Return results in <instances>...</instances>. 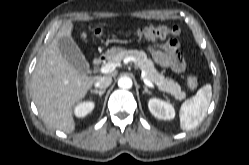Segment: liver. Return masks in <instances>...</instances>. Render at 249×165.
Listing matches in <instances>:
<instances>
[{
	"instance_id": "6515ba94",
	"label": "liver",
	"mask_w": 249,
	"mask_h": 165,
	"mask_svg": "<svg viewBox=\"0 0 249 165\" xmlns=\"http://www.w3.org/2000/svg\"><path fill=\"white\" fill-rule=\"evenodd\" d=\"M72 30L71 21L60 28L41 54L31 81V95L42 120L66 133L75 129L72 108L85 98L98 78L80 73L62 56L59 39L71 37Z\"/></svg>"
}]
</instances>
